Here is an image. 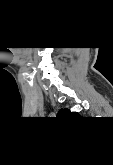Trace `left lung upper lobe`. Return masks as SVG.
Masks as SVG:
<instances>
[{
    "instance_id": "1",
    "label": "left lung upper lobe",
    "mask_w": 113,
    "mask_h": 165,
    "mask_svg": "<svg viewBox=\"0 0 113 165\" xmlns=\"http://www.w3.org/2000/svg\"><path fill=\"white\" fill-rule=\"evenodd\" d=\"M62 113H67V114H71V115H76L75 113H71L68 109L64 110H60L58 115L62 114Z\"/></svg>"
}]
</instances>
